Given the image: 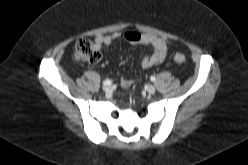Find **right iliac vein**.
I'll list each match as a JSON object with an SVG mask.
<instances>
[{"label":"right iliac vein","mask_w":248,"mask_h":165,"mask_svg":"<svg viewBox=\"0 0 248 165\" xmlns=\"http://www.w3.org/2000/svg\"><path fill=\"white\" fill-rule=\"evenodd\" d=\"M103 90L106 94H109L112 91V86L111 85H105V86H103Z\"/></svg>","instance_id":"63e3f726"}]
</instances>
